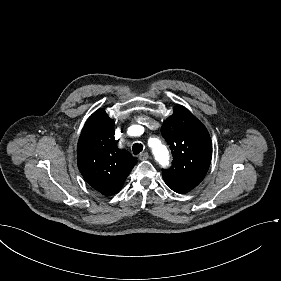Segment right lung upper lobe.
I'll use <instances>...</instances> for the list:
<instances>
[{
  "mask_svg": "<svg viewBox=\"0 0 281 281\" xmlns=\"http://www.w3.org/2000/svg\"><path fill=\"white\" fill-rule=\"evenodd\" d=\"M114 121L99 109L85 123L77 147L78 168L85 180L103 195H114L137 159L117 148Z\"/></svg>",
  "mask_w": 281,
  "mask_h": 281,
  "instance_id": "cb5924a9",
  "label": "right lung upper lobe"
}]
</instances>
